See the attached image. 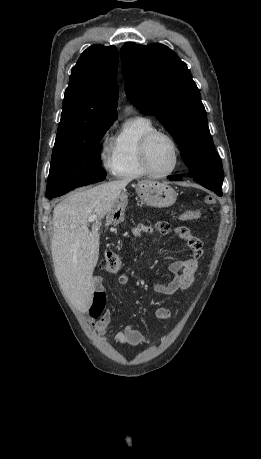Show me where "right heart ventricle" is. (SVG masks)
Masks as SVG:
<instances>
[{"label": "right heart ventricle", "mask_w": 261, "mask_h": 459, "mask_svg": "<svg viewBox=\"0 0 261 459\" xmlns=\"http://www.w3.org/2000/svg\"><path fill=\"white\" fill-rule=\"evenodd\" d=\"M153 130H156L155 124L145 117H137L125 125L110 149L116 176L133 179L147 175L140 160V144L143 137Z\"/></svg>", "instance_id": "e07e8e85"}]
</instances>
